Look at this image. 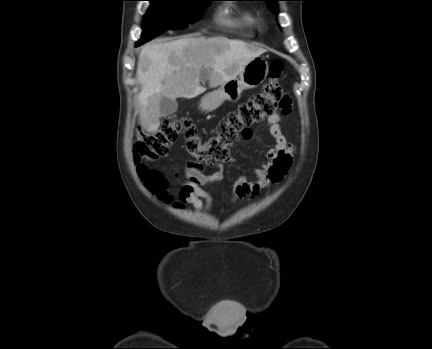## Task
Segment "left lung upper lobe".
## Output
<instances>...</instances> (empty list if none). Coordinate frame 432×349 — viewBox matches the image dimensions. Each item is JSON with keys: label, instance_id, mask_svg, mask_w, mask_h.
Instances as JSON below:
<instances>
[{"label": "left lung upper lobe", "instance_id": "obj_1", "mask_svg": "<svg viewBox=\"0 0 432 349\" xmlns=\"http://www.w3.org/2000/svg\"><path fill=\"white\" fill-rule=\"evenodd\" d=\"M259 1H266L268 8L273 12V13H277L278 9H277V1L280 0H259Z\"/></svg>", "mask_w": 432, "mask_h": 349}]
</instances>
